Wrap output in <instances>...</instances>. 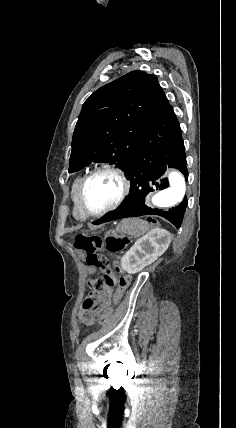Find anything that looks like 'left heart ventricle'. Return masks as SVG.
Here are the masks:
<instances>
[{
    "label": "left heart ventricle",
    "instance_id": "b2bd125f",
    "mask_svg": "<svg viewBox=\"0 0 236 428\" xmlns=\"http://www.w3.org/2000/svg\"><path fill=\"white\" fill-rule=\"evenodd\" d=\"M122 190L121 182L112 174H99L86 185L85 200L90 209L99 211L112 205Z\"/></svg>",
    "mask_w": 236,
    "mask_h": 428
}]
</instances>
